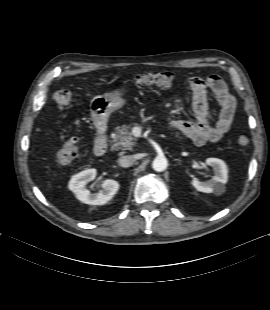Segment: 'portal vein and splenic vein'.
<instances>
[{
    "label": "portal vein and splenic vein",
    "mask_w": 270,
    "mask_h": 310,
    "mask_svg": "<svg viewBox=\"0 0 270 310\" xmlns=\"http://www.w3.org/2000/svg\"><path fill=\"white\" fill-rule=\"evenodd\" d=\"M132 134L137 138L140 137L141 136V129L139 127H134L132 130Z\"/></svg>",
    "instance_id": "18ae733b"
}]
</instances>
